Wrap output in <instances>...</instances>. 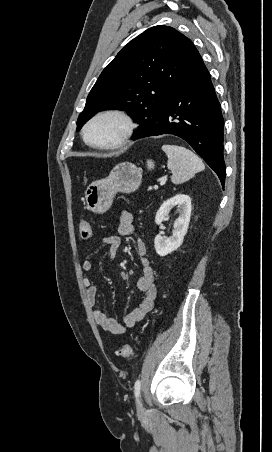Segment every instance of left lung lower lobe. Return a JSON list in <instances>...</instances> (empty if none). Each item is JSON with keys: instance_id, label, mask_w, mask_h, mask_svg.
<instances>
[{"instance_id": "0a47b994", "label": "left lung lower lobe", "mask_w": 272, "mask_h": 452, "mask_svg": "<svg viewBox=\"0 0 272 452\" xmlns=\"http://www.w3.org/2000/svg\"><path fill=\"white\" fill-rule=\"evenodd\" d=\"M224 119L210 74L197 51L190 61L157 123L138 129L132 136L174 134L186 140L225 182L223 158Z\"/></svg>"}]
</instances>
